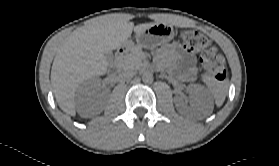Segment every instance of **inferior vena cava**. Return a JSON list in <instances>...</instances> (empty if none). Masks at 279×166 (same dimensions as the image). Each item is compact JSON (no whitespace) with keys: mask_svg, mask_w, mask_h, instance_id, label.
Here are the masks:
<instances>
[{"mask_svg":"<svg viewBox=\"0 0 279 166\" xmlns=\"http://www.w3.org/2000/svg\"><path fill=\"white\" fill-rule=\"evenodd\" d=\"M121 75L126 79H130L136 75V71L134 69H125L122 71Z\"/></svg>","mask_w":279,"mask_h":166,"instance_id":"obj_1","label":"inferior vena cava"}]
</instances>
